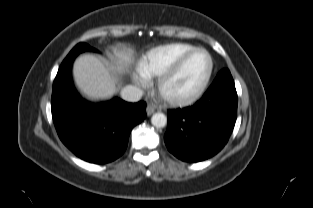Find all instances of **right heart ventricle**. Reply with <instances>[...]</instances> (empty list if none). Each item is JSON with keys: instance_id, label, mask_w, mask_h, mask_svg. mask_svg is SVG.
<instances>
[{"instance_id": "obj_1", "label": "right heart ventricle", "mask_w": 313, "mask_h": 208, "mask_svg": "<svg viewBox=\"0 0 313 208\" xmlns=\"http://www.w3.org/2000/svg\"><path fill=\"white\" fill-rule=\"evenodd\" d=\"M196 47L184 43H171L148 51L139 63L138 71L144 79H152L168 71L185 54Z\"/></svg>"}]
</instances>
